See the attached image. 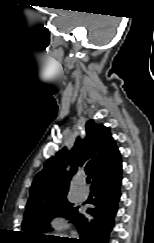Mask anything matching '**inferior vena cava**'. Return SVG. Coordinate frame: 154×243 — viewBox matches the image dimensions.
<instances>
[{
    "label": "inferior vena cava",
    "mask_w": 154,
    "mask_h": 243,
    "mask_svg": "<svg viewBox=\"0 0 154 243\" xmlns=\"http://www.w3.org/2000/svg\"><path fill=\"white\" fill-rule=\"evenodd\" d=\"M77 236L76 232H72V237Z\"/></svg>",
    "instance_id": "inferior-vena-cava-1"
}]
</instances>
